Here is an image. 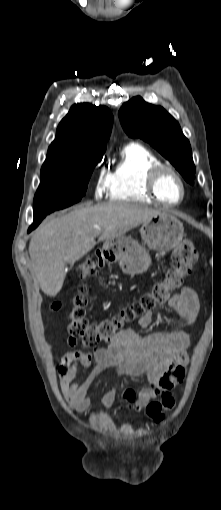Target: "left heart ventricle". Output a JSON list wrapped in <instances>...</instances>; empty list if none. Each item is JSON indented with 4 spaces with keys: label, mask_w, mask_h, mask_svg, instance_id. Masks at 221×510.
Listing matches in <instances>:
<instances>
[{
    "label": "left heart ventricle",
    "mask_w": 221,
    "mask_h": 510,
    "mask_svg": "<svg viewBox=\"0 0 221 510\" xmlns=\"http://www.w3.org/2000/svg\"><path fill=\"white\" fill-rule=\"evenodd\" d=\"M157 190L159 196L166 202H177L182 196V190L178 180L170 173H164L160 178Z\"/></svg>",
    "instance_id": "left-heart-ventricle-1"
}]
</instances>
